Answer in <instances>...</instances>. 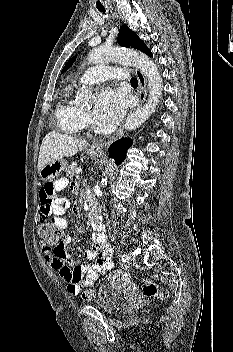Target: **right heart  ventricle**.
I'll use <instances>...</instances> for the list:
<instances>
[{
	"mask_svg": "<svg viewBox=\"0 0 233 352\" xmlns=\"http://www.w3.org/2000/svg\"><path fill=\"white\" fill-rule=\"evenodd\" d=\"M72 87H68L56 110L59 128L68 134L80 133L86 125L83 110L71 99Z\"/></svg>",
	"mask_w": 233,
	"mask_h": 352,
	"instance_id": "1",
	"label": "right heart ventricle"
}]
</instances>
